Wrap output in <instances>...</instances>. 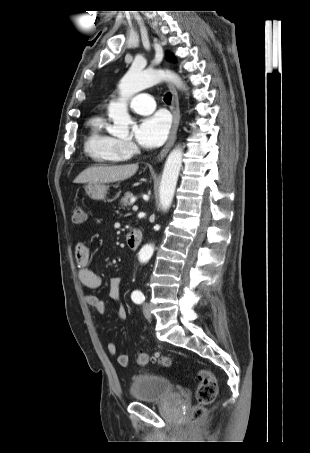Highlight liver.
I'll return each instance as SVG.
<instances>
[{"label": "liver", "mask_w": 310, "mask_h": 453, "mask_svg": "<svg viewBox=\"0 0 310 453\" xmlns=\"http://www.w3.org/2000/svg\"><path fill=\"white\" fill-rule=\"evenodd\" d=\"M138 168V164L91 166L83 170L75 178L74 183L102 184L123 181L132 177Z\"/></svg>", "instance_id": "6515ba94"}]
</instances>
